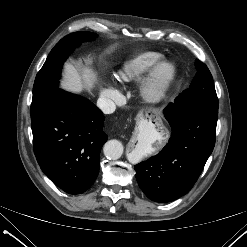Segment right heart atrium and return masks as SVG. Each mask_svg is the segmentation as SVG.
I'll use <instances>...</instances> for the list:
<instances>
[{
  "mask_svg": "<svg viewBox=\"0 0 247 247\" xmlns=\"http://www.w3.org/2000/svg\"><path fill=\"white\" fill-rule=\"evenodd\" d=\"M101 94L103 97L110 100H118L120 98L119 90L112 84L106 83L102 88Z\"/></svg>",
  "mask_w": 247,
  "mask_h": 247,
  "instance_id": "d8ad5b80",
  "label": "right heart atrium"
}]
</instances>
